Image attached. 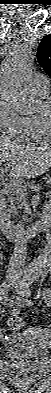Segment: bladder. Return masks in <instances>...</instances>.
I'll return each mask as SVG.
<instances>
[{
  "label": "bladder",
  "instance_id": "1",
  "mask_svg": "<svg viewBox=\"0 0 51 393\" xmlns=\"http://www.w3.org/2000/svg\"><path fill=\"white\" fill-rule=\"evenodd\" d=\"M6 366L17 371L18 377L14 381L22 384H33L44 377L51 371V361L44 352H25V358L17 364L7 362Z\"/></svg>",
  "mask_w": 51,
  "mask_h": 393
}]
</instances>
